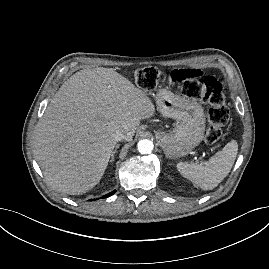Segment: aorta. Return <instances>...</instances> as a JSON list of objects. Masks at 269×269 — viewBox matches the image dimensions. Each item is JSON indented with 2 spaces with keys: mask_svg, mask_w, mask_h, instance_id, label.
I'll list each match as a JSON object with an SVG mask.
<instances>
[{
  "mask_svg": "<svg viewBox=\"0 0 269 269\" xmlns=\"http://www.w3.org/2000/svg\"><path fill=\"white\" fill-rule=\"evenodd\" d=\"M154 148V144L149 139L140 140L137 144V149L141 154H150Z\"/></svg>",
  "mask_w": 269,
  "mask_h": 269,
  "instance_id": "762f6f07",
  "label": "aorta"
}]
</instances>
